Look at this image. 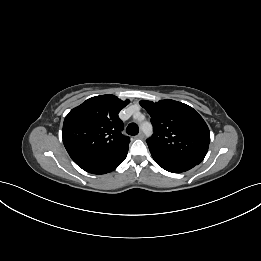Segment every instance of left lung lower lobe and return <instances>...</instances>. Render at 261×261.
I'll list each match as a JSON object with an SVG mask.
<instances>
[{
  "label": "left lung lower lobe",
  "instance_id": "1",
  "mask_svg": "<svg viewBox=\"0 0 261 261\" xmlns=\"http://www.w3.org/2000/svg\"><path fill=\"white\" fill-rule=\"evenodd\" d=\"M151 152V155L154 159V161L161 166L163 169L172 172V173H181L190 170L193 168L195 163H192L190 161L178 159L175 157H171L162 153H159L157 151H154L152 149H149Z\"/></svg>",
  "mask_w": 261,
  "mask_h": 261
}]
</instances>
